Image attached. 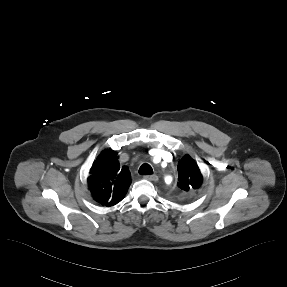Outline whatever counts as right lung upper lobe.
<instances>
[{"mask_svg":"<svg viewBox=\"0 0 287 287\" xmlns=\"http://www.w3.org/2000/svg\"><path fill=\"white\" fill-rule=\"evenodd\" d=\"M117 153L104 150L94 162L88 177V187L93 198L103 206L119 203L127 193L131 183L127 167L120 168Z\"/></svg>","mask_w":287,"mask_h":287,"instance_id":"obj_1","label":"right lung upper lobe"}]
</instances>
